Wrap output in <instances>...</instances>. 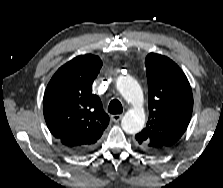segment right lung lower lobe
Returning <instances> with one entry per match:
<instances>
[{
  "instance_id": "1",
  "label": "right lung lower lobe",
  "mask_w": 223,
  "mask_h": 188,
  "mask_svg": "<svg viewBox=\"0 0 223 188\" xmlns=\"http://www.w3.org/2000/svg\"><path fill=\"white\" fill-rule=\"evenodd\" d=\"M67 149L75 154H84L90 150V149H84V148H67Z\"/></svg>"
}]
</instances>
